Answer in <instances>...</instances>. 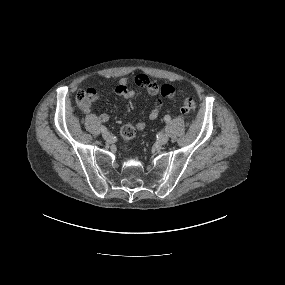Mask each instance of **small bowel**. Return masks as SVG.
<instances>
[{
  "label": "small bowel",
  "instance_id": "c3829d8e",
  "mask_svg": "<svg viewBox=\"0 0 285 285\" xmlns=\"http://www.w3.org/2000/svg\"><path fill=\"white\" fill-rule=\"evenodd\" d=\"M136 84L140 88L146 90V92L155 97V102L153 108L148 114L149 120H155L158 118L160 110L163 105V99L174 100L177 96V90L171 85L159 86L156 82L150 80L145 75H139L136 78ZM115 93L118 96L123 97L126 100H132L135 98V91L130 87L127 79L122 78L119 80L118 84L115 87ZM98 97V94L95 90L92 89L88 99L83 103L82 108L84 112L91 113L93 111L94 103ZM98 119L105 123L108 121L109 116L107 113H100ZM146 126V121L141 120L135 124L137 130H143Z\"/></svg>",
  "mask_w": 285,
  "mask_h": 285
}]
</instances>
